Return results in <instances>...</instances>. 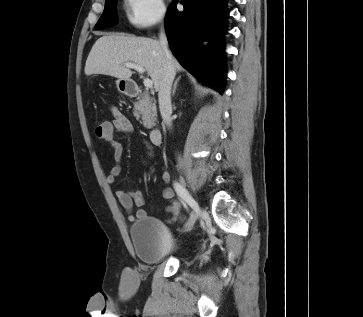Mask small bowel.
I'll return each mask as SVG.
<instances>
[{
  "instance_id": "small-bowel-1",
  "label": "small bowel",
  "mask_w": 363,
  "mask_h": 317,
  "mask_svg": "<svg viewBox=\"0 0 363 317\" xmlns=\"http://www.w3.org/2000/svg\"><path fill=\"white\" fill-rule=\"evenodd\" d=\"M111 113L113 115V120L107 122V128L102 129L100 132H96V135L107 142L113 152L116 164L111 168L108 176L107 182L110 185L115 184L117 177L121 173V167L119 162L123 156V145L120 141L115 139V133L120 132L123 134H129L133 131V126L130 120L120 112L116 107L111 108ZM149 149H151L150 144H147ZM162 180L165 184L170 182V174L167 170L162 171ZM116 199L120 205L128 213V219L130 221H135L137 218L146 217L147 214L144 210L139 209L136 213H133L134 206H141L144 203V196L140 190L137 189H127V190H117L115 192ZM162 196L164 199L169 200L170 204L167 206L166 211L172 215L170 221H175L180 214L181 204L174 198V192L170 187H165Z\"/></svg>"
}]
</instances>
